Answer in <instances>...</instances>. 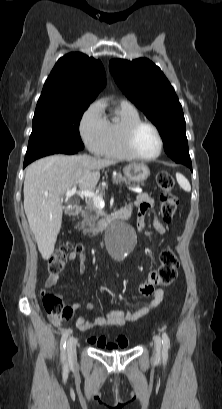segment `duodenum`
Here are the masks:
<instances>
[{
  "label": "duodenum",
  "instance_id": "duodenum-1",
  "mask_svg": "<svg viewBox=\"0 0 222 409\" xmlns=\"http://www.w3.org/2000/svg\"><path fill=\"white\" fill-rule=\"evenodd\" d=\"M82 208L80 205H74L70 208V213L72 215H77L81 212ZM130 216V212L124 208L114 212L110 217L102 219L98 222L96 226V232L101 233L104 231L106 226L114 221L126 220Z\"/></svg>",
  "mask_w": 222,
  "mask_h": 409
}]
</instances>
